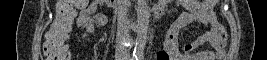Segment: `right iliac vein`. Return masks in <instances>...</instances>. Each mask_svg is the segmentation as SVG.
I'll return each mask as SVG.
<instances>
[{"label":"right iliac vein","mask_w":267,"mask_h":60,"mask_svg":"<svg viewBox=\"0 0 267 60\" xmlns=\"http://www.w3.org/2000/svg\"><path fill=\"white\" fill-rule=\"evenodd\" d=\"M117 55H118V58L121 59V56H122L121 52H119Z\"/></svg>","instance_id":"obj_1"}]
</instances>
